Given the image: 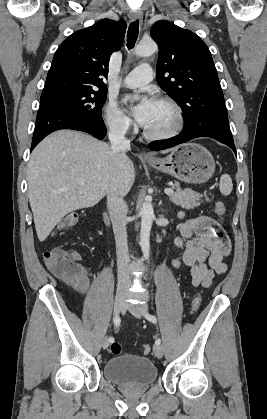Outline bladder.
Segmentation results:
<instances>
[{
	"instance_id": "31cf9c89",
	"label": "bladder",
	"mask_w": 267,
	"mask_h": 419,
	"mask_svg": "<svg viewBox=\"0 0 267 419\" xmlns=\"http://www.w3.org/2000/svg\"><path fill=\"white\" fill-rule=\"evenodd\" d=\"M103 374L108 380L127 387L148 386L157 379V369L151 359L132 354L109 358Z\"/></svg>"
}]
</instances>
